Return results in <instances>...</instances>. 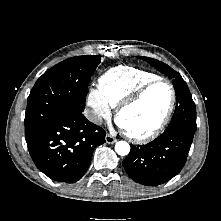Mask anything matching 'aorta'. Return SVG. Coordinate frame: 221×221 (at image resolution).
<instances>
[{
	"label": "aorta",
	"mask_w": 221,
	"mask_h": 221,
	"mask_svg": "<svg viewBox=\"0 0 221 221\" xmlns=\"http://www.w3.org/2000/svg\"><path fill=\"white\" fill-rule=\"evenodd\" d=\"M115 151L120 156L128 155L130 152V145L126 141H118L115 144Z\"/></svg>",
	"instance_id": "1"
}]
</instances>
